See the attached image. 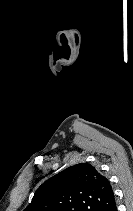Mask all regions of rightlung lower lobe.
Wrapping results in <instances>:
<instances>
[{"label": "right lung lower lobe", "instance_id": "obj_1", "mask_svg": "<svg viewBox=\"0 0 133 211\" xmlns=\"http://www.w3.org/2000/svg\"><path fill=\"white\" fill-rule=\"evenodd\" d=\"M111 211H117V207L115 206L114 208L111 209Z\"/></svg>", "mask_w": 133, "mask_h": 211}]
</instances>
